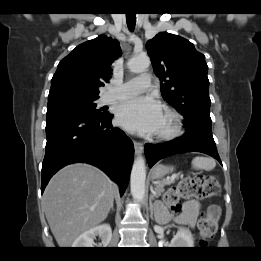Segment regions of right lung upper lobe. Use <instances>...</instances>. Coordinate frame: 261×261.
<instances>
[{"label":"right lung upper lobe","mask_w":261,"mask_h":261,"mask_svg":"<svg viewBox=\"0 0 261 261\" xmlns=\"http://www.w3.org/2000/svg\"><path fill=\"white\" fill-rule=\"evenodd\" d=\"M120 52L118 42L105 35L78 45L58 64L48 98L58 94L98 98V87L111 78L110 66Z\"/></svg>","instance_id":"1"}]
</instances>
